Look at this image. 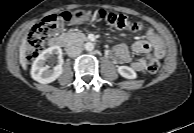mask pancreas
Here are the masks:
<instances>
[{
    "label": "pancreas",
    "instance_id": "pancreas-1",
    "mask_svg": "<svg viewBox=\"0 0 194 133\" xmlns=\"http://www.w3.org/2000/svg\"><path fill=\"white\" fill-rule=\"evenodd\" d=\"M65 39L70 43H76L82 39H85V35L80 32H67L64 34Z\"/></svg>",
    "mask_w": 194,
    "mask_h": 133
}]
</instances>
